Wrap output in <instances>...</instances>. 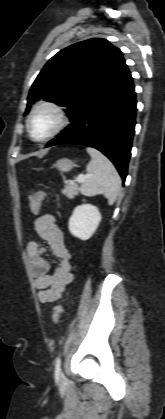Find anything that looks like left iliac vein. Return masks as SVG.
I'll return each instance as SVG.
<instances>
[{"instance_id": "4c4485c4", "label": "left iliac vein", "mask_w": 165, "mask_h": 419, "mask_svg": "<svg viewBox=\"0 0 165 419\" xmlns=\"http://www.w3.org/2000/svg\"><path fill=\"white\" fill-rule=\"evenodd\" d=\"M60 377L62 378L63 377V374H60Z\"/></svg>"}]
</instances>
